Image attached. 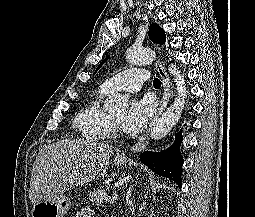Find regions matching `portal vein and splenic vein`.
Here are the masks:
<instances>
[{
	"label": "portal vein and splenic vein",
	"instance_id": "portal-vein-and-splenic-vein-1",
	"mask_svg": "<svg viewBox=\"0 0 255 217\" xmlns=\"http://www.w3.org/2000/svg\"><path fill=\"white\" fill-rule=\"evenodd\" d=\"M117 198H118V194L116 193L113 196H108L106 198V201L109 202L110 204H113L116 202Z\"/></svg>",
	"mask_w": 255,
	"mask_h": 217
}]
</instances>
